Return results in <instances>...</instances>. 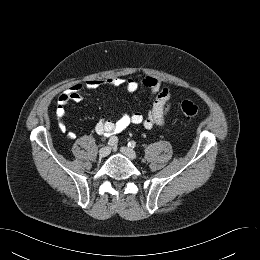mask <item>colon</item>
I'll use <instances>...</instances> for the list:
<instances>
[{"instance_id":"5ec220e1","label":"colon","mask_w":260,"mask_h":260,"mask_svg":"<svg viewBox=\"0 0 260 260\" xmlns=\"http://www.w3.org/2000/svg\"><path fill=\"white\" fill-rule=\"evenodd\" d=\"M181 111L188 119H193L199 114L198 106L190 100H185L181 103Z\"/></svg>"}]
</instances>
